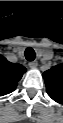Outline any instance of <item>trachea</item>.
Instances as JSON below:
<instances>
[{
  "instance_id": "trachea-1",
  "label": "trachea",
  "mask_w": 63,
  "mask_h": 123,
  "mask_svg": "<svg viewBox=\"0 0 63 123\" xmlns=\"http://www.w3.org/2000/svg\"><path fill=\"white\" fill-rule=\"evenodd\" d=\"M24 54H25L26 60H28L30 62H32L35 59V57H36L35 51L31 47L26 48Z\"/></svg>"
}]
</instances>
